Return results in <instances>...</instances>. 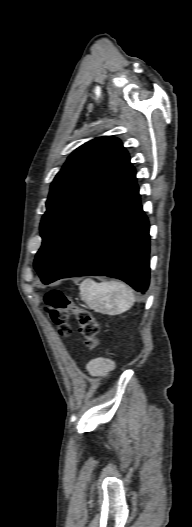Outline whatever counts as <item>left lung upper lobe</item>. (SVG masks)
I'll list each match as a JSON object with an SVG mask.
<instances>
[{"label": "left lung upper lobe", "instance_id": "obj_1", "mask_svg": "<svg viewBox=\"0 0 192 527\" xmlns=\"http://www.w3.org/2000/svg\"><path fill=\"white\" fill-rule=\"evenodd\" d=\"M132 168L117 138L97 137L69 157L54 178L42 217L43 239L34 268L40 278L65 250L75 233L111 189Z\"/></svg>", "mask_w": 192, "mask_h": 527}]
</instances>
